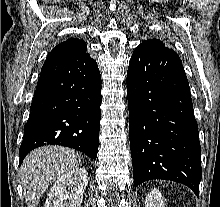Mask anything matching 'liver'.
<instances>
[{"label":"liver","mask_w":220,"mask_h":207,"mask_svg":"<svg viewBox=\"0 0 220 207\" xmlns=\"http://www.w3.org/2000/svg\"><path fill=\"white\" fill-rule=\"evenodd\" d=\"M74 151L62 146H44L31 151L24 159L20 180L28 207H36L46 189L60 176L80 164Z\"/></svg>","instance_id":"6515ba94"}]
</instances>
